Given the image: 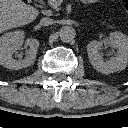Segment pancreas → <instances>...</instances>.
<instances>
[{
    "mask_svg": "<svg viewBox=\"0 0 128 128\" xmlns=\"http://www.w3.org/2000/svg\"><path fill=\"white\" fill-rule=\"evenodd\" d=\"M48 2H49V5H50L51 7H53V8L56 9V10H59V6L55 5L52 0H48Z\"/></svg>",
    "mask_w": 128,
    "mask_h": 128,
    "instance_id": "cf45deb5",
    "label": "pancreas"
}]
</instances>
